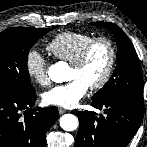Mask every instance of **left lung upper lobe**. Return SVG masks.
Here are the masks:
<instances>
[{"mask_svg": "<svg viewBox=\"0 0 147 147\" xmlns=\"http://www.w3.org/2000/svg\"><path fill=\"white\" fill-rule=\"evenodd\" d=\"M93 24L111 30L116 39L118 51L114 73L104 87L93 95L92 100L131 98L144 102V82L139 58L130 39L116 24L110 22H94Z\"/></svg>", "mask_w": 147, "mask_h": 147, "instance_id": "1", "label": "left lung upper lobe"}]
</instances>
